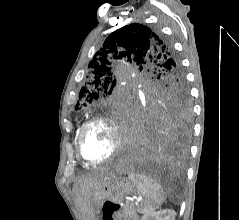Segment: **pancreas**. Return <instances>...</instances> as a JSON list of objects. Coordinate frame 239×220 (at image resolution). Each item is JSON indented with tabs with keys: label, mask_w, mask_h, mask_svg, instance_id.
<instances>
[{
	"label": "pancreas",
	"mask_w": 239,
	"mask_h": 220,
	"mask_svg": "<svg viewBox=\"0 0 239 220\" xmlns=\"http://www.w3.org/2000/svg\"><path fill=\"white\" fill-rule=\"evenodd\" d=\"M119 216L124 220H138L137 210L132 204H126L119 212Z\"/></svg>",
	"instance_id": "cf45deb5"
}]
</instances>
